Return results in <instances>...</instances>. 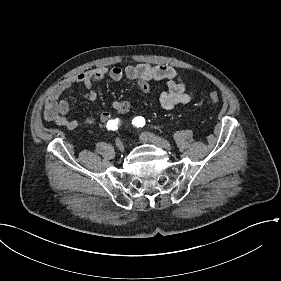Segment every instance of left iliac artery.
Returning a JSON list of instances; mask_svg holds the SVG:
<instances>
[{"label":"left iliac artery","mask_w":281,"mask_h":281,"mask_svg":"<svg viewBox=\"0 0 281 281\" xmlns=\"http://www.w3.org/2000/svg\"><path fill=\"white\" fill-rule=\"evenodd\" d=\"M133 124L136 127H143L145 125V119L141 116H137L133 119Z\"/></svg>","instance_id":"left-iliac-artery-1"}]
</instances>
